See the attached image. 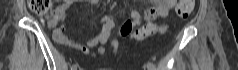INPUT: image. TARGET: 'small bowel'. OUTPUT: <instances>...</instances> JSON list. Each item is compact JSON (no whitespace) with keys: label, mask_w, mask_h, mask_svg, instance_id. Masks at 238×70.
I'll use <instances>...</instances> for the list:
<instances>
[{"label":"small bowel","mask_w":238,"mask_h":70,"mask_svg":"<svg viewBox=\"0 0 238 70\" xmlns=\"http://www.w3.org/2000/svg\"><path fill=\"white\" fill-rule=\"evenodd\" d=\"M98 0H90V3L95 4ZM74 0H64L63 3L57 7L56 15L53 20L49 22L50 27H55L59 20H63L68 15V9ZM177 0H152L151 3L154 5L146 14L141 15L138 11L133 10L131 12V20L126 21L121 27L120 33L122 35H128L131 33L134 26L139 25L143 21L148 19H153L154 21L159 17H165L173 8L177 7ZM114 28V20L111 16H104L102 18V28L99 34L93 38L86 40L84 43L73 41L68 38L62 28H58L54 31V39L64 45L74 47L75 49L89 54L90 47L98 46V53L100 55L105 54L104 46L108 41H110L113 51H116L118 48V41L116 39L110 40L111 32Z\"/></svg>","instance_id":"obj_1"}]
</instances>
